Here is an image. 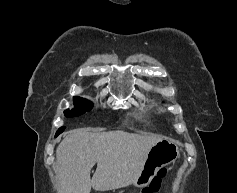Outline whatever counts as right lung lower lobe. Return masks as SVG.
<instances>
[{"label": "right lung lower lobe", "instance_id": "98d812e1", "mask_svg": "<svg viewBox=\"0 0 237 193\" xmlns=\"http://www.w3.org/2000/svg\"><path fill=\"white\" fill-rule=\"evenodd\" d=\"M65 127H61L57 132H56V136L57 137L60 133H62L64 131Z\"/></svg>", "mask_w": 237, "mask_h": 193}]
</instances>
